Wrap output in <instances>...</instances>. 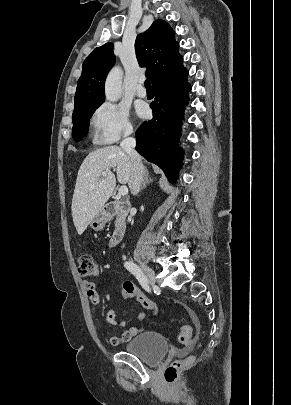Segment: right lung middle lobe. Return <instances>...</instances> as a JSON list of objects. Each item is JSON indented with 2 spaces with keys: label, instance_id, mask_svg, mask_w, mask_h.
<instances>
[{
  "label": "right lung middle lobe",
  "instance_id": "1",
  "mask_svg": "<svg viewBox=\"0 0 291 405\" xmlns=\"http://www.w3.org/2000/svg\"><path fill=\"white\" fill-rule=\"evenodd\" d=\"M99 106L100 105L92 106V107H89V108H86V109L73 113V115H72V122H73L72 135H73V139L75 141H79L83 136H85L87 134L90 118H91L92 114L94 113V111Z\"/></svg>",
  "mask_w": 291,
  "mask_h": 405
}]
</instances>
